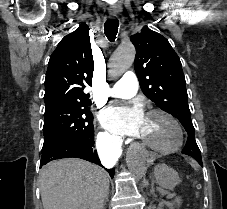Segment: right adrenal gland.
Segmentation results:
<instances>
[{
	"label": "right adrenal gland",
	"instance_id": "right-adrenal-gland-1",
	"mask_svg": "<svg viewBox=\"0 0 227 209\" xmlns=\"http://www.w3.org/2000/svg\"><path fill=\"white\" fill-rule=\"evenodd\" d=\"M107 201H109V199H108V195H107V197H105V201H104V207H103V209H105V205H106Z\"/></svg>",
	"mask_w": 227,
	"mask_h": 209
}]
</instances>
